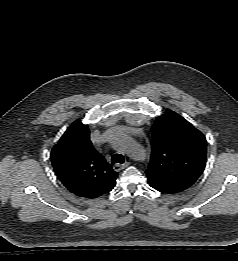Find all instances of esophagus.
Wrapping results in <instances>:
<instances>
[{
    "mask_svg": "<svg viewBox=\"0 0 238 261\" xmlns=\"http://www.w3.org/2000/svg\"><path fill=\"white\" fill-rule=\"evenodd\" d=\"M130 165V162H125L123 164H115L113 166L114 171H120L125 169L126 167H128Z\"/></svg>",
    "mask_w": 238,
    "mask_h": 261,
    "instance_id": "34e87169",
    "label": "esophagus"
}]
</instances>
